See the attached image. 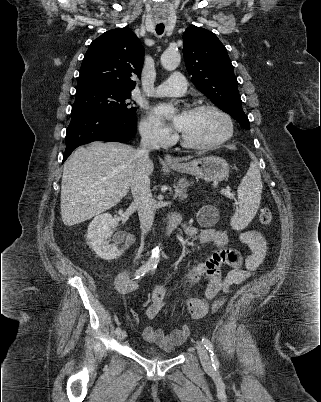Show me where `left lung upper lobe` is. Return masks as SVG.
<instances>
[{
    "label": "left lung upper lobe",
    "instance_id": "5c2ea615",
    "mask_svg": "<svg viewBox=\"0 0 321 402\" xmlns=\"http://www.w3.org/2000/svg\"><path fill=\"white\" fill-rule=\"evenodd\" d=\"M186 68L199 91L218 108L228 112L243 128L249 129L242 109L238 82L225 46L217 36L194 25L183 34Z\"/></svg>",
    "mask_w": 321,
    "mask_h": 402
}]
</instances>
